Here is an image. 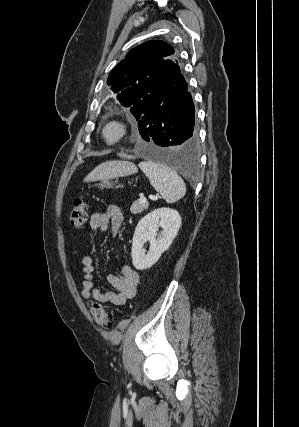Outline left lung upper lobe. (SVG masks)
Wrapping results in <instances>:
<instances>
[{
    "label": "left lung upper lobe",
    "mask_w": 299,
    "mask_h": 427,
    "mask_svg": "<svg viewBox=\"0 0 299 427\" xmlns=\"http://www.w3.org/2000/svg\"><path fill=\"white\" fill-rule=\"evenodd\" d=\"M173 54L166 42L148 41L130 50L110 72L107 84L136 120L142 116V108L160 100L178 81L181 72Z\"/></svg>",
    "instance_id": "obj_1"
}]
</instances>
